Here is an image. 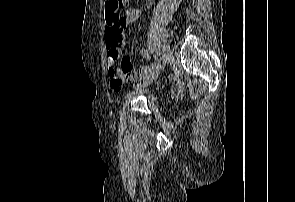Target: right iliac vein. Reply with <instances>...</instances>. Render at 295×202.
<instances>
[{"instance_id":"1","label":"right iliac vein","mask_w":295,"mask_h":202,"mask_svg":"<svg viewBox=\"0 0 295 202\" xmlns=\"http://www.w3.org/2000/svg\"><path fill=\"white\" fill-rule=\"evenodd\" d=\"M169 55H170V47H169V45L167 43H164L162 45V58H163V62H164L162 68L160 69L159 73H157L150 80H147L143 84L138 85L136 87V90L140 89L141 87H147V86L151 85L158 78L160 73L164 70V66H165L166 62L168 61V59H169Z\"/></svg>"}]
</instances>
